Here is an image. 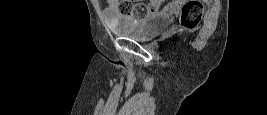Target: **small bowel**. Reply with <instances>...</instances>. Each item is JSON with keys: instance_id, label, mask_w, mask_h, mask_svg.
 <instances>
[{"instance_id": "obj_1", "label": "small bowel", "mask_w": 267, "mask_h": 115, "mask_svg": "<svg viewBox=\"0 0 267 115\" xmlns=\"http://www.w3.org/2000/svg\"><path fill=\"white\" fill-rule=\"evenodd\" d=\"M110 3L113 5L114 1H110ZM183 5H184V2L181 0L172 1V2L168 3L162 9V11L165 13H169V14H178L181 11Z\"/></svg>"}]
</instances>
